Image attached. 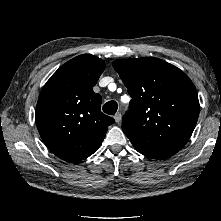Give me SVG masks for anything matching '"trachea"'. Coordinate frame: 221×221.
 Wrapping results in <instances>:
<instances>
[{
  "instance_id": "obj_1",
  "label": "trachea",
  "mask_w": 221,
  "mask_h": 221,
  "mask_svg": "<svg viewBox=\"0 0 221 221\" xmlns=\"http://www.w3.org/2000/svg\"><path fill=\"white\" fill-rule=\"evenodd\" d=\"M118 109V104L115 101H108L103 105V111L108 115H114Z\"/></svg>"
}]
</instances>
